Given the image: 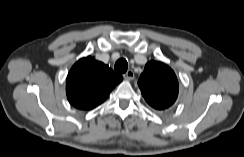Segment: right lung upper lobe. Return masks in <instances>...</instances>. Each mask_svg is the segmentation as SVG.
<instances>
[{"instance_id":"right-lung-upper-lobe-1","label":"right lung upper lobe","mask_w":244,"mask_h":157,"mask_svg":"<svg viewBox=\"0 0 244 157\" xmlns=\"http://www.w3.org/2000/svg\"><path fill=\"white\" fill-rule=\"evenodd\" d=\"M122 80L109 66L88 56L77 61L69 71L67 98L74 107L90 110L105 101Z\"/></svg>"}]
</instances>
